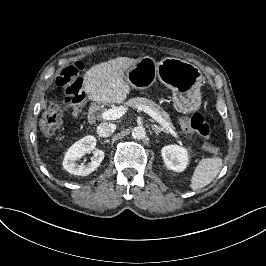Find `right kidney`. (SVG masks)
<instances>
[{
  "instance_id": "right-kidney-1",
  "label": "right kidney",
  "mask_w": 266,
  "mask_h": 266,
  "mask_svg": "<svg viewBox=\"0 0 266 266\" xmlns=\"http://www.w3.org/2000/svg\"><path fill=\"white\" fill-rule=\"evenodd\" d=\"M96 138L94 136L88 135L82 139L76 141L66 152L74 162V175L86 176L92 173L104 159V152L102 150L96 149ZM93 153L91 162L88 164H77L76 161L79 160L86 153Z\"/></svg>"
}]
</instances>
